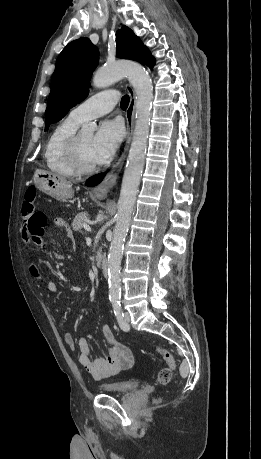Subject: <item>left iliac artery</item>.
<instances>
[{
  "label": "left iliac artery",
  "instance_id": "left-iliac-artery-1",
  "mask_svg": "<svg viewBox=\"0 0 261 459\" xmlns=\"http://www.w3.org/2000/svg\"><path fill=\"white\" fill-rule=\"evenodd\" d=\"M112 304H113V308H114V314L116 316V319L118 321V324H119L120 328L123 331H128L129 330V325L124 319V313H123V309L121 307L120 301L119 300H114L112 302Z\"/></svg>",
  "mask_w": 261,
  "mask_h": 459
}]
</instances>
